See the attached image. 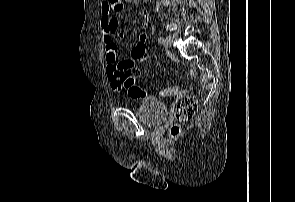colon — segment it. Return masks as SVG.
Returning <instances> with one entry per match:
<instances>
[{
	"mask_svg": "<svg viewBox=\"0 0 295 202\" xmlns=\"http://www.w3.org/2000/svg\"><path fill=\"white\" fill-rule=\"evenodd\" d=\"M128 0H111L114 7H122ZM120 89L125 91L132 98H142L149 95V93L139 87L135 82V76L129 72L124 71L121 73V85ZM180 92L179 86H171L159 91V96L168 97L176 95ZM197 110V99L194 96L186 97L180 100L176 107V118L178 121H187L191 119ZM181 129L180 126L175 124L170 129L172 136L179 135Z\"/></svg>",
	"mask_w": 295,
	"mask_h": 202,
	"instance_id": "obj_1",
	"label": "colon"
}]
</instances>
